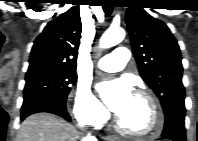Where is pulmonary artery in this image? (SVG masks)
<instances>
[{
  "instance_id": "1",
  "label": "pulmonary artery",
  "mask_w": 198,
  "mask_h": 141,
  "mask_svg": "<svg viewBox=\"0 0 198 141\" xmlns=\"http://www.w3.org/2000/svg\"><path fill=\"white\" fill-rule=\"evenodd\" d=\"M130 52L127 47L118 46L113 51L103 56L97 66L107 72H115L121 70L129 61Z\"/></svg>"
}]
</instances>
